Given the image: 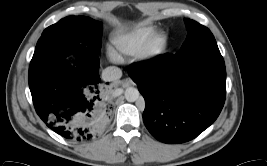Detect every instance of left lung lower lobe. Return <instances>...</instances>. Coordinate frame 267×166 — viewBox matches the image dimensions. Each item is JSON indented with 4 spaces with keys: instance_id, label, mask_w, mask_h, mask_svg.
<instances>
[{
    "instance_id": "left-lung-lower-lobe-1",
    "label": "left lung lower lobe",
    "mask_w": 267,
    "mask_h": 166,
    "mask_svg": "<svg viewBox=\"0 0 267 166\" xmlns=\"http://www.w3.org/2000/svg\"><path fill=\"white\" fill-rule=\"evenodd\" d=\"M128 73L145 99L143 121L159 141H190L219 116L226 96V69L213 38L178 54L133 63Z\"/></svg>"
}]
</instances>
